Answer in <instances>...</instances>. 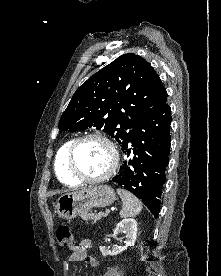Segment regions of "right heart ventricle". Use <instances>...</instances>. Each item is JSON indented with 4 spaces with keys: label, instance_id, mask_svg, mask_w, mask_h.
<instances>
[{
    "label": "right heart ventricle",
    "instance_id": "obj_1",
    "mask_svg": "<svg viewBox=\"0 0 221 276\" xmlns=\"http://www.w3.org/2000/svg\"><path fill=\"white\" fill-rule=\"evenodd\" d=\"M71 141L72 140H67L58 149L55 157L54 167L57 177L62 183L67 185H76L79 183V181L72 177L66 165V153Z\"/></svg>",
    "mask_w": 221,
    "mask_h": 276
}]
</instances>
